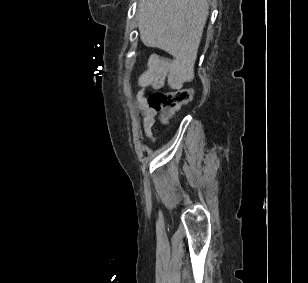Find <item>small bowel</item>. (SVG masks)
<instances>
[{"label": "small bowel", "instance_id": "c3829d8e", "mask_svg": "<svg viewBox=\"0 0 308 283\" xmlns=\"http://www.w3.org/2000/svg\"><path fill=\"white\" fill-rule=\"evenodd\" d=\"M193 74L191 64L180 63L178 60L153 57L150 59L148 68L140 73L138 85L141 87L137 94V105L145 117L143 120V129L148 138L153 140L151 128L155 121L156 111L148 106L145 91L148 88L161 90L165 87L168 80L189 79Z\"/></svg>", "mask_w": 308, "mask_h": 283}]
</instances>
